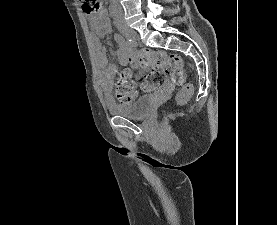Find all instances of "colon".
I'll list each match as a JSON object with an SVG mask.
<instances>
[{"label":"colon","instance_id":"colon-1","mask_svg":"<svg viewBox=\"0 0 277 225\" xmlns=\"http://www.w3.org/2000/svg\"><path fill=\"white\" fill-rule=\"evenodd\" d=\"M83 10L88 13H97L100 10L98 0H82ZM131 62L139 67L150 68L151 72L145 77L141 89L147 93L158 91L165 82V76L171 75L180 85L176 96L178 105H184L193 93L191 84L186 83V70L183 60L178 54L168 55L164 52L150 49L141 50ZM136 83L131 79L129 69H124L117 81L115 95L119 102H130L137 95Z\"/></svg>","mask_w":277,"mask_h":225}]
</instances>
